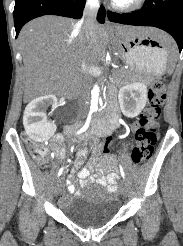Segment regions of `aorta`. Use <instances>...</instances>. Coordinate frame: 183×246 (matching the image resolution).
Listing matches in <instances>:
<instances>
[{"instance_id": "762f6f07", "label": "aorta", "mask_w": 183, "mask_h": 246, "mask_svg": "<svg viewBox=\"0 0 183 246\" xmlns=\"http://www.w3.org/2000/svg\"><path fill=\"white\" fill-rule=\"evenodd\" d=\"M99 86L95 85L91 91V110L98 109Z\"/></svg>"}]
</instances>
